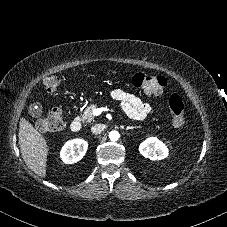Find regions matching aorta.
I'll use <instances>...</instances> for the list:
<instances>
[{"instance_id": "762f6f07", "label": "aorta", "mask_w": 227, "mask_h": 227, "mask_svg": "<svg viewBox=\"0 0 227 227\" xmlns=\"http://www.w3.org/2000/svg\"><path fill=\"white\" fill-rule=\"evenodd\" d=\"M119 137H120V134H119L118 131H111V132L109 133V139H110L111 141H117V140L119 139Z\"/></svg>"}]
</instances>
